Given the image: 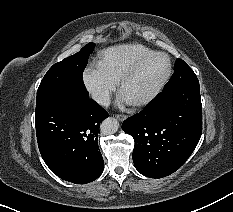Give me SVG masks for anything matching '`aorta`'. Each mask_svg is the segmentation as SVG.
Segmentation results:
<instances>
[{"instance_id": "1", "label": "aorta", "mask_w": 233, "mask_h": 212, "mask_svg": "<svg viewBox=\"0 0 233 212\" xmlns=\"http://www.w3.org/2000/svg\"><path fill=\"white\" fill-rule=\"evenodd\" d=\"M118 128H119L118 120L112 117L106 118L100 126L103 135L114 134L117 132Z\"/></svg>"}]
</instances>
